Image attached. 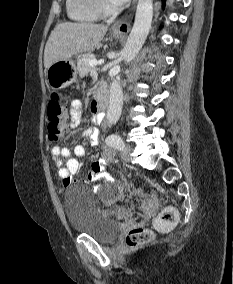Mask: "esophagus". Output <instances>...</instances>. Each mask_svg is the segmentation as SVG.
Here are the masks:
<instances>
[{
	"label": "esophagus",
	"mask_w": 233,
	"mask_h": 284,
	"mask_svg": "<svg viewBox=\"0 0 233 284\" xmlns=\"http://www.w3.org/2000/svg\"><path fill=\"white\" fill-rule=\"evenodd\" d=\"M136 1L137 0H133L132 8L112 25L111 29L113 32L121 34L129 32Z\"/></svg>",
	"instance_id": "esophagus-1"
}]
</instances>
